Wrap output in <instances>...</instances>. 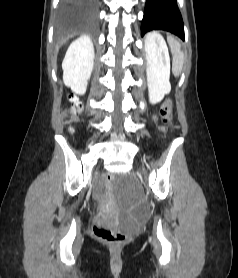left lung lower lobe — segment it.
Wrapping results in <instances>:
<instances>
[{"label": "left lung lower lobe", "instance_id": "0a47b994", "mask_svg": "<svg viewBox=\"0 0 238 278\" xmlns=\"http://www.w3.org/2000/svg\"><path fill=\"white\" fill-rule=\"evenodd\" d=\"M153 29L169 31L184 40V26L176 0H146L141 35Z\"/></svg>", "mask_w": 238, "mask_h": 278}]
</instances>
